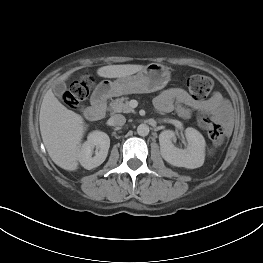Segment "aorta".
<instances>
[{
	"mask_svg": "<svg viewBox=\"0 0 263 263\" xmlns=\"http://www.w3.org/2000/svg\"><path fill=\"white\" fill-rule=\"evenodd\" d=\"M149 126L147 124H140L137 127V133L139 136L145 137L149 134Z\"/></svg>",
	"mask_w": 263,
	"mask_h": 263,
	"instance_id": "obj_1",
	"label": "aorta"
}]
</instances>
